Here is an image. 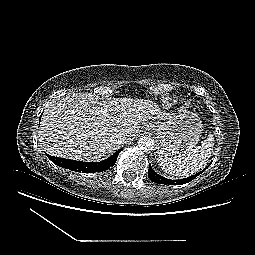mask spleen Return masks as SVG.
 <instances>
[{
  "label": "spleen",
  "instance_id": "obj_1",
  "mask_svg": "<svg viewBox=\"0 0 255 255\" xmlns=\"http://www.w3.org/2000/svg\"><path fill=\"white\" fill-rule=\"evenodd\" d=\"M214 147V138L209 134L202 144L179 156L160 154L157 162L162 170L174 176H189L199 171L207 164Z\"/></svg>",
  "mask_w": 255,
  "mask_h": 255
}]
</instances>
